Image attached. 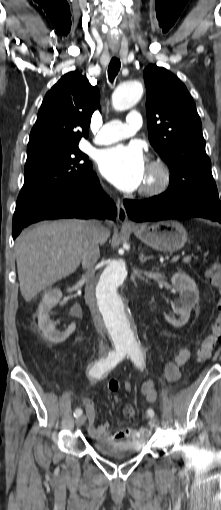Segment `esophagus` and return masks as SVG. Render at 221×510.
<instances>
[{"mask_svg":"<svg viewBox=\"0 0 221 510\" xmlns=\"http://www.w3.org/2000/svg\"><path fill=\"white\" fill-rule=\"evenodd\" d=\"M117 218L120 223L126 226H131L133 223L128 219L126 209L122 203L118 205Z\"/></svg>","mask_w":221,"mask_h":510,"instance_id":"1","label":"esophagus"}]
</instances>
